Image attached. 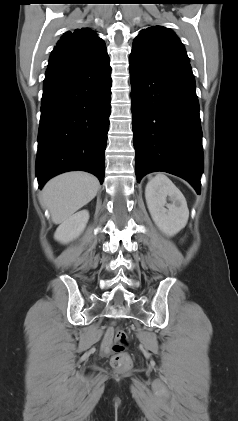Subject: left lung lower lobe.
Here are the masks:
<instances>
[{"instance_id":"0a47b994","label":"left lung lower lobe","mask_w":238,"mask_h":421,"mask_svg":"<svg viewBox=\"0 0 238 421\" xmlns=\"http://www.w3.org/2000/svg\"><path fill=\"white\" fill-rule=\"evenodd\" d=\"M129 61L137 182L163 171L187 180L200 194L202 131L189 61L150 62L133 54Z\"/></svg>"}]
</instances>
